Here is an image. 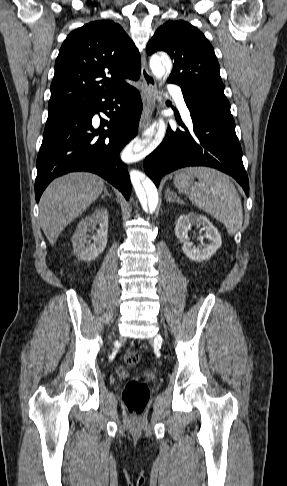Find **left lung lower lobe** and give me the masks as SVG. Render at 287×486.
Instances as JSON below:
<instances>
[{
	"label": "left lung lower lobe",
	"instance_id": "left-lung-lower-lobe-1",
	"mask_svg": "<svg viewBox=\"0 0 287 486\" xmlns=\"http://www.w3.org/2000/svg\"><path fill=\"white\" fill-rule=\"evenodd\" d=\"M182 92L193 128L183 132L169 126L163 142L144 161L146 174L158 186L162 176L178 168L209 166L234 177L248 196L249 181L234 121L208 112L188 92Z\"/></svg>",
	"mask_w": 287,
	"mask_h": 486
}]
</instances>
